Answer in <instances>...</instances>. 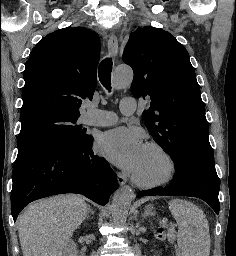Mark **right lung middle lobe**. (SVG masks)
<instances>
[{
  "label": "right lung middle lobe",
  "mask_w": 236,
  "mask_h": 256,
  "mask_svg": "<svg viewBox=\"0 0 236 256\" xmlns=\"http://www.w3.org/2000/svg\"><path fill=\"white\" fill-rule=\"evenodd\" d=\"M77 119L54 111H42L21 119L18 156L48 144L80 145L86 142L90 136L84 135Z\"/></svg>",
  "instance_id": "obj_1"
}]
</instances>
